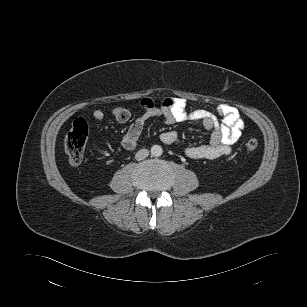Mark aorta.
I'll use <instances>...</instances> for the list:
<instances>
[{
	"label": "aorta",
	"instance_id": "1",
	"mask_svg": "<svg viewBox=\"0 0 307 307\" xmlns=\"http://www.w3.org/2000/svg\"><path fill=\"white\" fill-rule=\"evenodd\" d=\"M162 153H163V149H162L161 146H159V145H153V146L151 147V154H152V156H154V157H159V156L162 155Z\"/></svg>",
	"mask_w": 307,
	"mask_h": 307
}]
</instances>
